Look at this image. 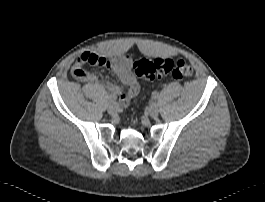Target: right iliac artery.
<instances>
[{
    "label": "right iliac artery",
    "mask_w": 265,
    "mask_h": 202,
    "mask_svg": "<svg viewBox=\"0 0 265 202\" xmlns=\"http://www.w3.org/2000/svg\"><path fill=\"white\" fill-rule=\"evenodd\" d=\"M108 101H109V103L114 102L115 101V97L112 96V95H109L108 96Z\"/></svg>",
    "instance_id": "82829eb1"
}]
</instances>
